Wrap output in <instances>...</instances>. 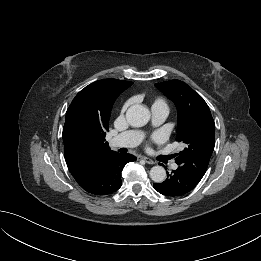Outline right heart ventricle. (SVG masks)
I'll use <instances>...</instances> for the list:
<instances>
[{"label": "right heart ventricle", "instance_id": "right-heart-ventricle-1", "mask_svg": "<svg viewBox=\"0 0 261 261\" xmlns=\"http://www.w3.org/2000/svg\"><path fill=\"white\" fill-rule=\"evenodd\" d=\"M151 110H165L168 112V104L162 97H155L151 100Z\"/></svg>", "mask_w": 261, "mask_h": 261}]
</instances>
